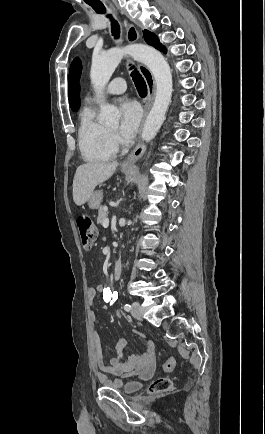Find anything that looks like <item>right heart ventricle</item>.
<instances>
[{"mask_svg":"<svg viewBox=\"0 0 265 434\" xmlns=\"http://www.w3.org/2000/svg\"><path fill=\"white\" fill-rule=\"evenodd\" d=\"M78 143L84 160L91 164L114 160L117 151L108 141L109 129L96 118L94 103H85L78 111Z\"/></svg>","mask_w":265,"mask_h":434,"instance_id":"e07e8e85","label":"right heart ventricle"}]
</instances>
